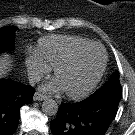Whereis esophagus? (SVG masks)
<instances>
[{"mask_svg":"<svg viewBox=\"0 0 135 135\" xmlns=\"http://www.w3.org/2000/svg\"><path fill=\"white\" fill-rule=\"evenodd\" d=\"M46 98H47V96L44 95V94H42V93H40V92H36V93L34 94V96H33V99H34L35 101H42V100H45Z\"/></svg>","mask_w":135,"mask_h":135,"instance_id":"esophagus-1","label":"esophagus"}]
</instances>
